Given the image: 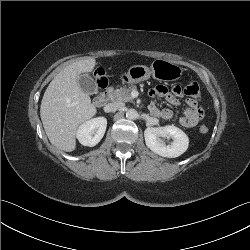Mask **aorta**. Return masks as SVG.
I'll list each match as a JSON object with an SVG mask.
<instances>
[{"label": "aorta", "mask_w": 250, "mask_h": 250, "mask_svg": "<svg viewBox=\"0 0 250 250\" xmlns=\"http://www.w3.org/2000/svg\"><path fill=\"white\" fill-rule=\"evenodd\" d=\"M126 117L130 120H135L138 118V113L135 109H128L126 112Z\"/></svg>", "instance_id": "1"}]
</instances>
